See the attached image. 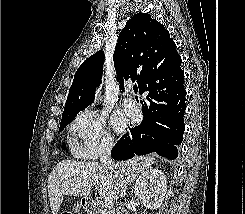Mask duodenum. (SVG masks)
<instances>
[{
	"instance_id": "410a0bca",
	"label": "duodenum",
	"mask_w": 245,
	"mask_h": 214,
	"mask_svg": "<svg viewBox=\"0 0 245 214\" xmlns=\"http://www.w3.org/2000/svg\"><path fill=\"white\" fill-rule=\"evenodd\" d=\"M85 208L90 214H96L98 212V204L92 199H87L84 201ZM114 214H128L125 210L121 208H114Z\"/></svg>"
}]
</instances>
